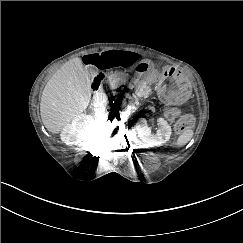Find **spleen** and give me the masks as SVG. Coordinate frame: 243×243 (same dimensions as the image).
<instances>
[{
  "label": "spleen",
  "instance_id": "obj_1",
  "mask_svg": "<svg viewBox=\"0 0 243 243\" xmlns=\"http://www.w3.org/2000/svg\"><path fill=\"white\" fill-rule=\"evenodd\" d=\"M194 130L191 128H186L180 135L177 137L176 141L170 144V147H183L193 138Z\"/></svg>",
  "mask_w": 243,
  "mask_h": 243
}]
</instances>
